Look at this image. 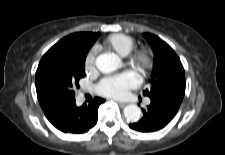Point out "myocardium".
<instances>
[{"label": "myocardium", "mask_w": 225, "mask_h": 155, "mask_svg": "<svg viewBox=\"0 0 225 155\" xmlns=\"http://www.w3.org/2000/svg\"><path fill=\"white\" fill-rule=\"evenodd\" d=\"M129 62L138 73L145 76L153 66L152 52L145 47L138 48L130 54Z\"/></svg>", "instance_id": "1"}]
</instances>
